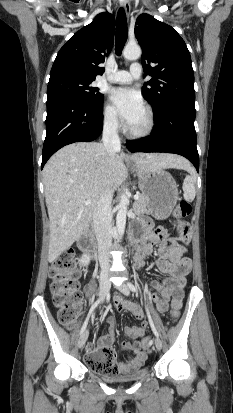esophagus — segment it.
Segmentation results:
<instances>
[{"mask_svg": "<svg viewBox=\"0 0 233 413\" xmlns=\"http://www.w3.org/2000/svg\"><path fill=\"white\" fill-rule=\"evenodd\" d=\"M120 4H121L122 8L124 9L125 14L127 16H129L130 11H131V6H130V3H129V0H121Z\"/></svg>", "mask_w": 233, "mask_h": 413, "instance_id": "1", "label": "esophagus"}]
</instances>
